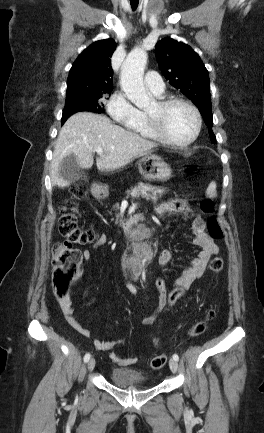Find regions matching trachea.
Listing matches in <instances>:
<instances>
[{"mask_svg": "<svg viewBox=\"0 0 264 433\" xmlns=\"http://www.w3.org/2000/svg\"><path fill=\"white\" fill-rule=\"evenodd\" d=\"M131 8L133 11H135L138 7L139 0H130Z\"/></svg>", "mask_w": 264, "mask_h": 433, "instance_id": "obj_1", "label": "trachea"}]
</instances>
